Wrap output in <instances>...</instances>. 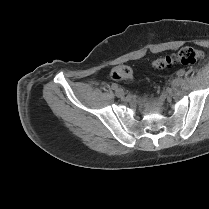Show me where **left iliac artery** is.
I'll use <instances>...</instances> for the list:
<instances>
[{
  "label": "left iliac artery",
  "instance_id": "left-iliac-artery-1",
  "mask_svg": "<svg viewBox=\"0 0 209 209\" xmlns=\"http://www.w3.org/2000/svg\"><path fill=\"white\" fill-rule=\"evenodd\" d=\"M177 75H178L179 77H182V76L184 75V72H183L182 70H179V71L177 72Z\"/></svg>",
  "mask_w": 209,
  "mask_h": 209
}]
</instances>
